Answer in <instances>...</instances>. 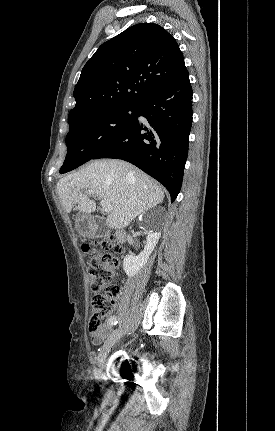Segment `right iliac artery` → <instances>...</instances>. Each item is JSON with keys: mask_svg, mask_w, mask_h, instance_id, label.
Segmentation results:
<instances>
[{"mask_svg": "<svg viewBox=\"0 0 275 431\" xmlns=\"http://www.w3.org/2000/svg\"><path fill=\"white\" fill-rule=\"evenodd\" d=\"M117 323H118V321H117V318L115 316L110 317V319L108 321L109 326L112 327L113 325H116ZM114 331H116V330H114Z\"/></svg>", "mask_w": 275, "mask_h": 431, "instance_id": "82829eb1", "label": "right iliac artery"}]
</instances>
